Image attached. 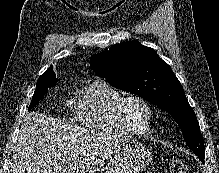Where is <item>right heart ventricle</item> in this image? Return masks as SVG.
I'll use <instances>...</instances> for the list:
<instances>
[{
	"instance_id": "1",
	"label": "right heart ventricle",
	"mask_w": 219,
	"mask_h": 173,
	"mask_svg": "<svg viewBox=\"0 0 219 173\" xmlns=\"http://www.w3.org/2000/svg\"><path fill=\"white\" fill-rule=\"evenodd\" d=\"M121 93L102 80L83 86L70 103L73 118L82 126L104 134L127 136L116 122L114 105Z\"/></svg>"
}]
</instances>
